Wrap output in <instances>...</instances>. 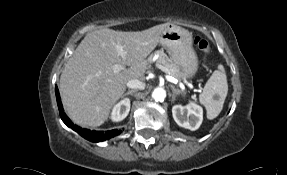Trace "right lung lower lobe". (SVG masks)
Segmentation results:
<instances>
[{"label":"right lung lower lobe","instance_id":"98d812e1","mask_svg":"<svg viewBox=\"0 0 287 175\" xmlns=\"http://www.w3.org/2000/svg\"><path fill=\"white\" fill-rule=\"evenodd\" d=\"M55 91H56V98H57L58 109H59L60 117H61L62 121L68 127L73 129L74 131H76L79 135H81L85 139H87V140H89L91 142H101V141H104V140H108V139H110V138H112L114 136H117V135H119L122 132V131L117 130V129H114V130H111V131H106V132L95 131V130L84 129V128H81V127L73 124L72 121L64 113L57 86H56Z\"/></svg>","mask_w":287,"mask_h":175}]
</instances>
